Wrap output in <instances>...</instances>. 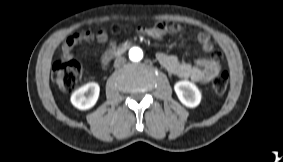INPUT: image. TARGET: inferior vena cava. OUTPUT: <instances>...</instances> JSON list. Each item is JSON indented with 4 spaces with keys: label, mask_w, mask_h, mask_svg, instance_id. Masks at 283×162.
Instances as JSON below:
<instances>
[{
    "label": "inferior vena cava",
    "mask_w": 283,
    "mask_h": 162,
    "mask_svg": "<svg viewBox=\"0 0 283 162\" xmlns=\"http://www.w3.org/2000/svg\"><path fill=\"white\" fill-rule=\"evenodd\" d=\"M125 62H126L125 57H118V58L115 59L114 66L119 67V66L123 65Z\"/></svg>",
    "instance_id": "602c4592"
}]
</instances>
